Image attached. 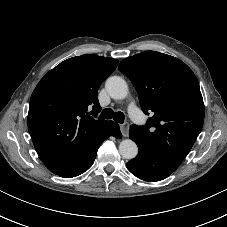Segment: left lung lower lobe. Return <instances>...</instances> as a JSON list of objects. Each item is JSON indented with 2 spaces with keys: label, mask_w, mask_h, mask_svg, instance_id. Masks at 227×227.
Wrapping results in <instances>:
<instances>
[{
  "label": "left lung lower lobe",
  "mask_w": 227,
  "mask_h": 227,
  "mask_svg": "<svg viewBox=\"0 0 227 227\" xmlns=\"http://www.w3.org/2000/svg\"><path fill=\"white\" fill-rule=\"evenodd\" d=\"M130 138L136 142L133 130L129 131ZM138 155L127 163L128 170L136 177L145 181H160L171 175L181 162L164 158L146 147L140 146Z\"/></svg>",
  "instance_id": "1"
}]
</instances>
